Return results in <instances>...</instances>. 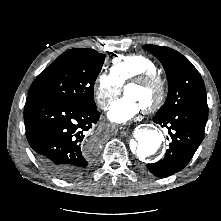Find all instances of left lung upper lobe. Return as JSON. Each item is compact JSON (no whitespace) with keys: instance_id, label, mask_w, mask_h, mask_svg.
Returning a JSON list of instances; mask_svg holds the SVG:
<instances>
[{"instance_id":"1","label":"left lung upper lobe","mask_w":221,"mask_h":221,"mask_svg":"<svg viewBox=\"0 0 221 221\" xmlns=\"http://www.w3.org/2000/svg\"><path fill=\"white\" fill-rule=\"evenodd\" d=\"M143 48L159 59L168 80V96L156 116H163L189 107L208 111L202 77L186 57L164 46L145 45Z\"/></svg>"}]
</instances>
